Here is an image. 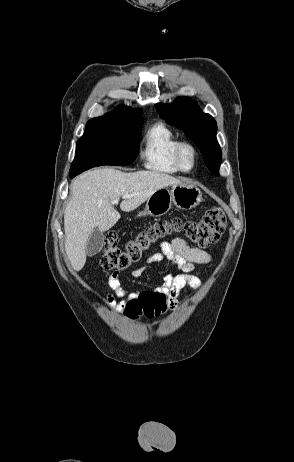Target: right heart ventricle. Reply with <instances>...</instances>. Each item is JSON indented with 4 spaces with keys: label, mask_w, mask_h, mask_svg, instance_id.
Masks as SVG:
<instances>
[{
    "label": "right heart ventricle",
    "mask_w": 294,
    "mask_h": 462,
    "mask_svg": "<svg viewBox=\"0 0 294 462\" xmlns=\"http://www.w3.org/2000/svg\"><path fill=\"white\" fill-rule=\"evenodd\" d=\"M179 139L163 122L154 123L145 133L141 157L145 168L150 171L175 174L180 172L174 160Z\"/></svg>",
    "instance_id": "1"
}]
</instances>
